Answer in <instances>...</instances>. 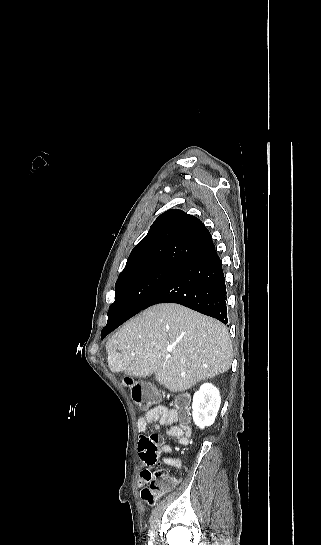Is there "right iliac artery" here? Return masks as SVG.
I'll return each instance as SVG.
<instances>
[{"instance_id": "obj_1", "label": "right iliac artery", "mask_w": 321, "mask_h": 545, "mask_svg": "<svg viewBox=\"0 0 321 545\" xmlns=\"http://www.w3.org/2000/svg\"><path fill=\"white\" fill-rule=\"evenodd\" d=\"M148 545H153L150 541L148 542Z\"/></svg>"}]
</instances>
